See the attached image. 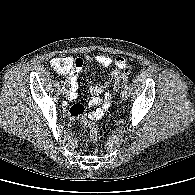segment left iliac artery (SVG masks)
Instances as JSON below:
<instances>
[{
  "label": "left iliac artery",
  "instance_id": "44dca946",
  "mask_svg": "<svg viewBox=\"0 0 195 195\" xmlns=\"http://www.w3.org/2000/svg\"><path fill=\"white\" fill-rule=\"evenodd\" d=\"M124 90H128V86L127 85H124Z\"/></svg>",
  "mask_w": 195,
  "mask_h": 195
}]
</instances>
